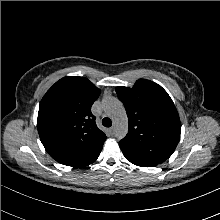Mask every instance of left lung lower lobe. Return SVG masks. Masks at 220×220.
<instances>
[{"label":"left lung lower lobe","instance_id":"left-lung-lower-lobe-1","mask_svg":"<svg viewBox=\"0 0 220 220\" xmlns=\"http://www.w3.org/2000/svg\"><path fill=\"white\" fill-rule=\"evenodd\" d=\"M122 152H123L125 158H126L129 162H131V163H133V164H135V165H137V166H141V167H153V166H156V165H157V164L151 162L150 160L143 159V158H141V157H139V156H137V155H134V154H132V153H129V152L125 151V150H122Z\"/></svg>","mask_w":220,"mask_h":220}]
</instances>
